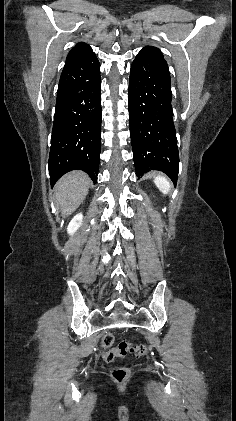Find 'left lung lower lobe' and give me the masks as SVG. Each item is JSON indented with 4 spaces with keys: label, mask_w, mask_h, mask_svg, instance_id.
<instances>
[{
    "label": "left lung lower lobe",
    "mask_w": 236,
    "mask_h": 421,
    "mask_svg": "<svg viewBox=\"0 0 236 421\" xmlns=\"http://www.w3.org/2000/svg\"><path fill=\"white\" fill-rule=\"evenodd\" d=\"M171 79L158 48L144 47L131 65L129 124L137 177L153 170L176 185L179 152L173 124Z\"/></svg>",
    "instance_id": "left-lung-lower-lobe-1"
}]
</instances>
